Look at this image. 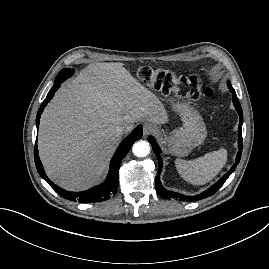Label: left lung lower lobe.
Returning <instances> with one entry per match:
<instances>
[{
    "label": "left lung lower lobe",
    "instance_id": "left-lung-lower-lobe-1",
    "mask_svg": "<svg viewBox=\"0 0 269 269\" xmlns=\"http://www.w3.org/2000/svg\"><path fill=\"white\" fill-rule=\"evenodd\" d=\"M227 86L230 89L231 93L233 94L232 96V100L234 103V106L239 114V127H238V134H239V138H238V145H239V152L237 154L236 157V163L232 166V168L217 182L215 183L212 187H210L208 190L202 192L201 194L195 195V196H186L180 193H176L173 191H168L166 189H164L160 183V172L162 169V158L160 155V148L157 145L155 139L153 137H149L148 141L151 143L152 145V149L159 161V169H158V175L156 177L155 180V186H156V190L158 192V194L160 196H162L163 198H171V199H175V200H181V201H198L204 198H207L211 195H213L216 191L219 190V188L224 184V182L227 180V178L233 173V171L235 170L237 164L240 161L241 158V153H242V124H243V112L240 106V103L237 99V95L235 93L234 88L232 87L231 83L228 81L227 82Z\"/></svg>",
    "mask_w": 269,
    "mask_h": 269
}]
</instances>
